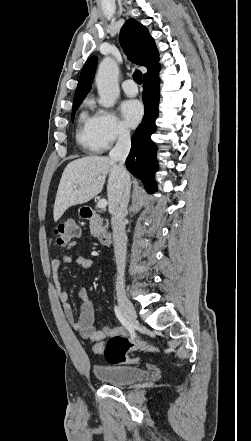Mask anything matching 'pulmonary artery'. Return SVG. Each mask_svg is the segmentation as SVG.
<instances>
[{
	"label": "pulmonary artery",
	"instance_id": "obj_1",
	"mask_svg": "<svg viewBox=\"0 0 251 441\" xmlns=\"http://www.w3.org/2000/svg\"><path fill=\"white\" fill-rule=\"evenodd\" d=\"M124 92L129 96H135L138 93V88L132 79H127L122 83Z\"/></svg>",
	"mask_w": 251,
	"mask_h": 441
}]
</instances>
